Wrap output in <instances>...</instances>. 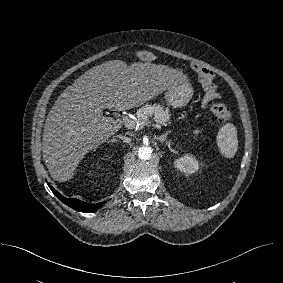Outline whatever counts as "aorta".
<instances>
[{
    "instance_id": "762f6f07",
    "label": "aorta",
    "mask_w": 283,
    "mask_h": 283,
    "mask_svg": "<svg viewBox=\"0 0 283 283\" xmlns=\"http://www.w3.org/2000/svg\"><path fill=\"white\" fill-rule=\"evenodd\" d=\"M152 149L149 146H142L138 150V157L143 160H148L151 158Z\"/></svg>"
}]
</instances>
